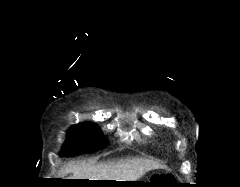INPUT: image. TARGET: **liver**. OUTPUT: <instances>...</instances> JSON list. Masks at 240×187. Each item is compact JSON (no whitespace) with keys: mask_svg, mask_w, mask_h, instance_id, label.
<instances>
[{"mask_svg":"<svg viewBox=\"0 0 240 187\" xmlns=\"http://www.w3.org/2000/svg\"><path fill=\"white\" fill-rule=\"evenodd\" d=\"M160 168V164L144 158L121 159L117 162H70L61 170V176L72 173L71 179L136 181L146 172Z\"/></svg>","mask_w":240,"mask_h":187,"instance_id":"6515ba94","label":"liver"}]
</instances>
